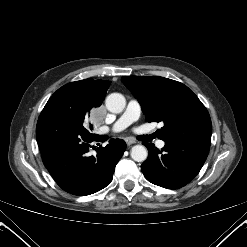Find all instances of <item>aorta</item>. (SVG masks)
Returning a JSON list of instances; mask_svg holds the SVG:
<instances>
[{
  "label": "aorta",
  "mask_w": 247,
  "mask_h": 247,
  "mask_svg": "<svg viewBox=\"0 0 247 247\" xmlns=\"http://www.w3.org/2000/svg\"><path fill=\"white\" fill-rule=\"evenodd\" d=\"M106 108L112 113H120L126 106V99L120 93H112L106 98ZM131 158L136 162H143L147 159L148 151L143 145H135L131 149Z\"/></svg>",
  "instance_id": "aorta-1"
}]
</instances>
